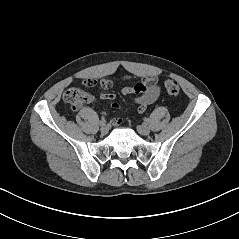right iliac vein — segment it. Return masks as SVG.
<instances>
[{
	"label": "right iliac vein",
	"instance_id": "obj_1",
	"mask_svg": "<svg viewBox=\"0 0 239 239\" xmlns=\"http://www.w3.org/2000/svg\"><path fill=\"white\" fill-rule=\"evenodd\" d=\"M100 131L102 134H107L109 131V127L106 124H104L101 126Z\"/></svg>",
	"mask_w": 239,
	"mask_h": 239
}]
</instances>
